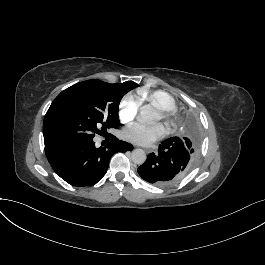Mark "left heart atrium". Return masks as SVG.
<instances>
[{"label":"left heart atrium","mask_w":265,"mask_h":265,"mask_svg":"<svg viewBox=\"0 0 265 265\" xmlns=\"http://www.w3.org/2000/svg\"><path fill=\"white\" fill-rule=\"evenodd\" d=\"M166 135L162 124L146 125L135 123L123 131V138L138 145H149Z\"/></svg>","instance_id":"left-heart-atrium-1"}]
</instances>
